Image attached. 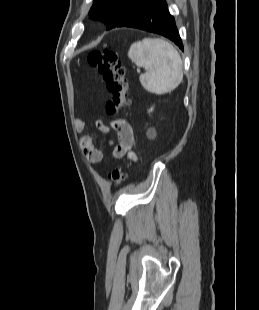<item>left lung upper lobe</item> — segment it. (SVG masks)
<instances>
[{"label": "left lung upper lobe", "instance_id": "obj_1", "mask_svg": "<svg viewBox=\"0 0 259 310\" xmlns=\"http://www.w3.org/2000/svg\"><path fill=\"white\" fill-rule=\"evenodd\" d=\"M148 1L150 0H94L89 17L104 22L109 30L114 28L129 11Z\"/></svg>", "mask_w": 259, "mask_h": 310}]
</instances>
